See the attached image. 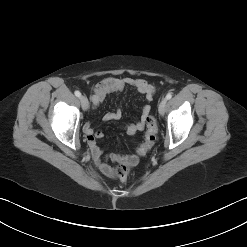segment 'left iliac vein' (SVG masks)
Masks as SVG:
<instances>
[{
  "label": "left iliac vein",
  "mask_w": 247,
  "mask_h": 247,
  "mask_svg": "<svg viewBox=\"0 0 247 247\" xmlns=\"http://www.w3.org/2000/svg\"><path fill=\"white\" fill-rule=\"evenodd\" d=\"M166 105H167V100L166 99H162L160 104H159V107H158L159 113L161 115H163L165 113Z\"/></svg>",
  "instance_id": "4c4485c4"
}]
</instances>
